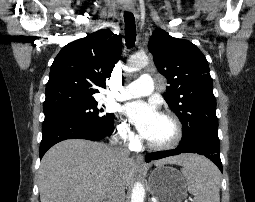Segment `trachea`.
I'll return each instance as SVG.
<instances>
[{
	"instance_id": "trachea-1",
	"label": "trachea",
	"mask_w": 255,
	"mask_h": 202,
	"mask_svg": "<svg viewBox=\"0 0 255 202\" xmlns=\"http://www.w3.org/2000/svg\"><path fill=\"white\" fill-rule=\"evenodd\" d=\"M125 19V41L128 48H132L136 39L135 18L131 12L124 13Z\"/></svg>"
}]
</instances>
